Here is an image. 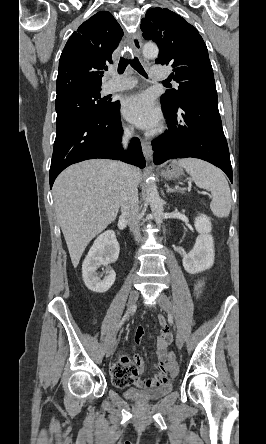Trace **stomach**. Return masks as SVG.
Here are the masks:
<instances>
[{"label": "stomach", "mask_w": 266, "mask_h": 444, "mask_svg": "<svg viewBox=\"0 0 266 444\" xmlns=\"http://www.w3.org/2000/svg\"><path fill=\"white\" fill-rule=\"evenodd\" d=\"M161 174L167 179H178L184 175V172L181 166L177 164H170L165 170H162Z\"/></svg>", "instance_id": "obj_1"}]
</instances>
